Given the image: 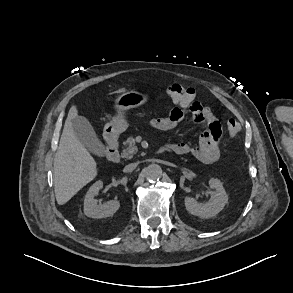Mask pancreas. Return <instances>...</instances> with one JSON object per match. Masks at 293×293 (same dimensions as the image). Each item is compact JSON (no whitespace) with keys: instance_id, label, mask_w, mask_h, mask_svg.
I'll list each match as a JSON object with an SVG mask.
<instances>
[{"instance_id":"pancreas-1","label":"pancreas","mask_w":293,"mask_h":293,"mask_svg":"<svg viewBox=\"0 0 293 293\" xmlns=\"http://www.w3.org/2000/svg\"><path fill=\"white\" fill-rule=\"evenodd\" d=\"M138 152V148L136 146V141L133 137H129L126 140V149L123 150L122 152V157L126 159H131L133 158V155Z\"/></svg>"}]
</instances>
